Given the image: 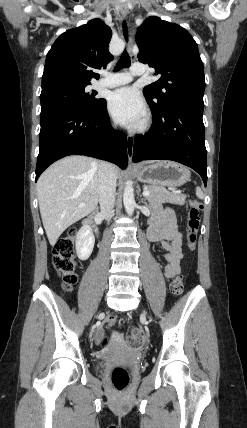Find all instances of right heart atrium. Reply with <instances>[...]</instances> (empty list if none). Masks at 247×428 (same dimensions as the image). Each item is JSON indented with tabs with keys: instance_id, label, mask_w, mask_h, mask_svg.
Listing matches in <instances>:
<instances>
[{
	"instance_id": "obj_1",
	"label": "right heart atrium",
	"mask_w": 247,
	"mask_h": 428,
	"mask_svg": "<svg viewBox=\"0 0 247 428\" xmlns=\"http://www.w3.org/2000/svg\"><path fill=\"white\" fill-rule=\"evenodd\" d=\"M111 125H112V127H115V124H114V123H112Z\"/></svg>"
}]
</instances>
